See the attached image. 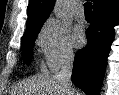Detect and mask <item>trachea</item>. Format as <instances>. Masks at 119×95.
<instances>
[{"mask_svg":"<svg viewBox=\"0 0 119 95\" xmlns=\"http://www.w3.org/2000/svg\"><path fill=\"white\" fill-rule=\"evenodd\" d=\"M84 13L86 16H92V3L91 2H86L84 4Z\"/></svg>","mask_w":119,"mask_h":95,"instance_id":"3493384b","label":"trachea"}]
</instances>
